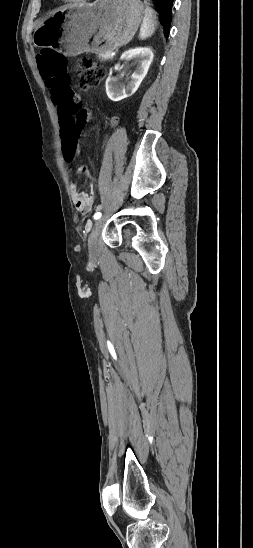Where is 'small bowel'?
<instances>
[{
  "label": "small bowel",
  "instance_id": "1",
  "mask_svg": "<svg viewBox=\"0 0 253 548\" xmlns=\"http://www.w3.org/2000/svg\"><path fill=\"white\" fill-rule=\"evenodd\" d=\"M41 76H42V74H41ZM66 97H68V96H66ZM81 149H82V142L77 137V139L75 140V144H74V154L80 153ZM70 191H71L72 199H73V202H74V205H75L76 209L78 211H80L81 213H87L91 209V207L94 203V195H93L94 191H95L94 183L91 184V194H87V193L79 191L78 186L75 183H71Z\"/></svg>",
  "mask_w": 253,
  "mask_h": 548
}]
</instances>
